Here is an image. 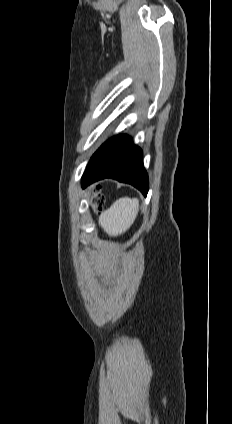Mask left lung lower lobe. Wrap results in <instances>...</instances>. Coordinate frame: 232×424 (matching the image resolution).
I'll return each mask as SVG.
<instances>
[{"instance_id":"obj_1","label":"left lung lower lobe","mask_w":232,"mask_h":424,"mask_svg":"<svg viewBox=\"0 0 232 424\" xmlns=\"http://www.w3.org/2000/svg\"><path fill=\"white\" fill-rule=\"evenodd\" d=\"M104 178L132 184L147 195L148 176L143 166L142 150L132 143L131 137H113L94 153L82 176V187Z\"/></svg>"}]
</instances>
